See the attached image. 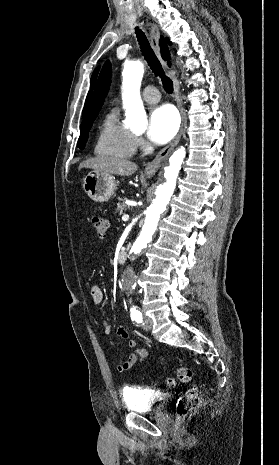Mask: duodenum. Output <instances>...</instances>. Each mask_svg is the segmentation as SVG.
<instances>
[{
  "label": "duodenum",
  "mask_w": 279,
  "mask_h": 465,
  "mask_svg": "<svg viewBox=\"0 0 279 465\" xmlns=\"http://www.w3.org/2000/svg\"><path fill=\"white\" fill-rule=\"evenodd\" d=\"M127 250L128 247H125L124 249L120 250V252L117 255V261L121 264L126 262L127 259Z\"/></svg>",
  "instance_id": "410a0bca"
}]
</instances>
